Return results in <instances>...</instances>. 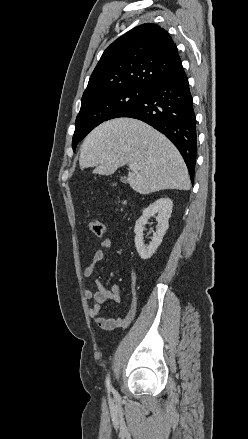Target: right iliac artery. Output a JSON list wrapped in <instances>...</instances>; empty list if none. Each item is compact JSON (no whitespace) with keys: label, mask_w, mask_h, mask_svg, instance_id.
Wrapping results in <instances>:
<instances>
[{"label":"right iliac artery","mask_w":248,"mask_h":439,"mask_svg":"<svg viewBox=\"0 0 248 439\" xmlns=\"http://www.w3.org/2000/svg\"><path fill=\"white\" fill-rule=\"evenodd\" d=\"M106 385H107L108 391H112L113 390L112 386L110 385V378L109 377H107V379H106Z\"/></svg>","instance_id":"obj_1"}]
</instances>
